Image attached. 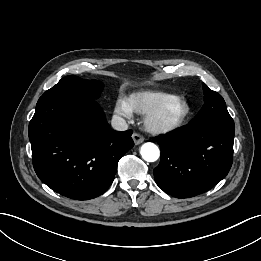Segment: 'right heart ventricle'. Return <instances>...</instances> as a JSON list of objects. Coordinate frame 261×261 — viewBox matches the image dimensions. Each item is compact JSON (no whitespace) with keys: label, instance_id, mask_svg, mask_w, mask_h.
Segmentation results:
<instances>
[{"label":"right heart ventricle","instance_id":"obj_1","mask_svg":"<svg viewBox=\"0 0 261 261\" xmlns=\"http://www.w3.org/2000/svg\"><path fill=\"white\" fill-rule=\"evenodd\" d=\"M172 95L161 91H141L132 94L128 101L133 111L146 115L159 107Z\"/></svg>","mask_w":261,"mask_h":261}]
</instances>
